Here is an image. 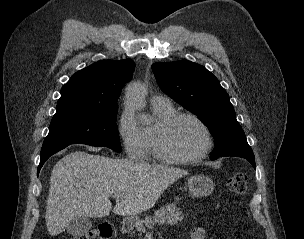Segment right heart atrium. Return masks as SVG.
Returning <instances> with one entry per match:
<instances>
[{
	"instance_id": "1",
	"label": "right heart atrium",
	"mask_w": 304,
	"mask_h": 239,
	"mask_svg": "<svg viewBox=\"0 0 304 239\" xmlns=\"http://www.w3.org/2000/svg\"><path fill=\"white\" fill-rule=\"evenodd\" d=\"M118 135L128 157L144 160L148 154V142L144 128L136 121L132 111L124 108L117 125Z\"/></svg>"
}]
</instances>
